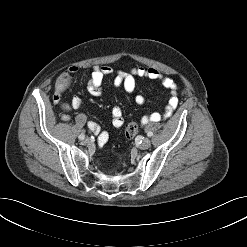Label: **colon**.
I'll list each match as a JSON object with an SVG mask.
<instances>
[{
	"instance_id": "colon-1",
	"label": "colon",
	"mask_w": 247,
	"mask_h": 247,
	"mask_svg": "<svg viewBox=\"0 0 247 247\" xmlns=\"http://www.w3.org/2000/svg\"><path fill=\"white\" fill-rule=\"evenodd\" d=\"M66 83H67V77L62 76L58 81V89L63 90ZM138 127H139V125L135 121L128 123L125 127V134H126L127 138H129V139L134 138L137 134Z\"/></svg>"
}]
</instances>
